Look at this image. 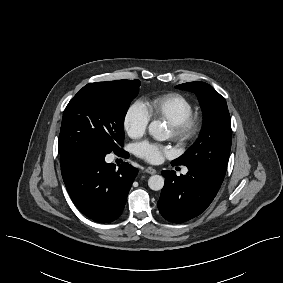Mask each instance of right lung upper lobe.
I'll return each instance as SVG.
<instances>
[{"label": "right lung upper lobe", "mask_w": 283, "mask_h": 283, "mask_svg": "<svg viewBox=\"0 0 283 283\" xmlns=\"http://www.w3.org/2000/svg\"><path fill=\"white\" fill-rule=\"evenodd\" d=\"M61 163V165H64L66 162H60Z\"/></svg>", "instance_id": "1"}]
</instances>
